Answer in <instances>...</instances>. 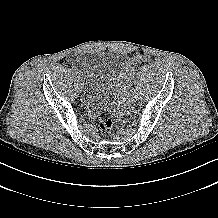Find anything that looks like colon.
Returning a JSON list of instances; mask_svg holds the SVG:
<instances>
[{
	"label": "colon",
	"mask_w": 218,
	"mask_h": 218,
	"mask_svg": "<svg viewBox=\"0 0 218 218\" xmlns=\"http://www.w3.org/2000/svg\"><path fill=\"white\" fill-rule=\"evenodd\" d=\"M146 56V53H140L141 58H145ZM98 128L103 137H107L111 134L113 129V114L110 110L101 111L98 114Z\"/></svg>",
	"instance_id": "5ec220e1"
}]
</instances>
